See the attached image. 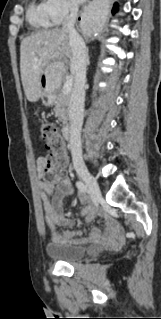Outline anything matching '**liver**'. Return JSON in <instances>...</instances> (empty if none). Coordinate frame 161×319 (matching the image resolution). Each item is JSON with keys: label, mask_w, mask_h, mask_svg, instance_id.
<instances>
[{"label": "liver", "mask_w": 161, "mask_h": 319, "mask_svg": "<svg viewBox=\"0 0 161 319\" xmlns=\"http://www.w3.org/2000/svg\"><path fill=\"white\" fill-rule=\"evenodd\" d=\"M72 59L68 33L55 28L35 33L22 40L20 46L21 80L28 101L36 102L42 96L40 77L50 63ZM64 68V66H63Z\"/></svg>", "instance_id": "1"}]
</instances>
